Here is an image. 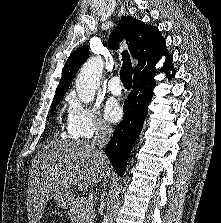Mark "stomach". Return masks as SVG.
<instances>
[{
  "label": "stomach",
  "mask_w": 221,
  "mask_h": 223,
  "mask_svg": "<svg viewBox=\"0 0 221 223\" xmlns=\"http://www.w3.org/2000/svg\"><path fill=\"white\" fill-rule=\"evenodd\" d=\"M72 200H73V194L69 190L63 191L54 196V201L56 205L63 209L68 208Z\"/></svg>",
  "instance_id": "1"
}]
</instances>
